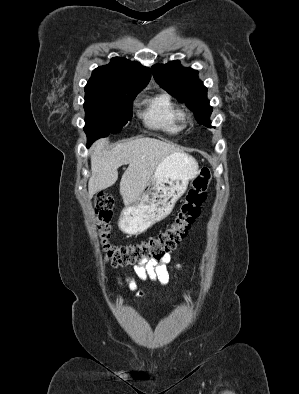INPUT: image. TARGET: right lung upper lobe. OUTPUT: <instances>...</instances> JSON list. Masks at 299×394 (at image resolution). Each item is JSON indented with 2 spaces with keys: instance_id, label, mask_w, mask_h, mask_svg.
<instances>
[{
  "instance_id": "cb5924a9",
  "label": "right lung upper lobe",
  "mask_w": 299,
  "mask_h": 394,
  "mask_svg": "<svg viewBox=\"0 0 299 394\" xmlns=\"http://www.w3.org/2000/svg\"><path fill=\"white\" fill-rule=\"evenodd\" d=\"M151 78L149 68L140 63L122 57H114L106 66H100L92 72L85 86L86 93L112 92L128 90L140 92Z\"/></svg>"
}]
</instances>
